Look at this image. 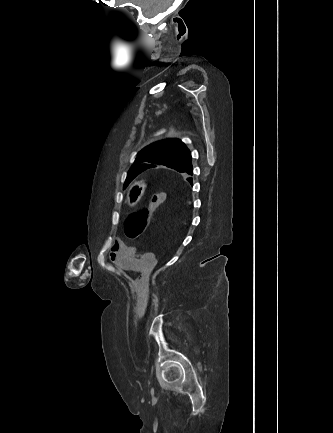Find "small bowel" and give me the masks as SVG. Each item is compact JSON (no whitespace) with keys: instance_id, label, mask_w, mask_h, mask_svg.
<instances>
[{"instance_id":"obj_1","label":"small bowel","mask_w":333,"mask_h":433,"mask_svg":"<svg viewBox=\"0 0 333 433\" xmlns=\"http://www.w3.org/2000/svg\"><path fill=\"white\" fill-rule=\"evenodd\" d=\"M110 259L113 264L128 271L149 274L157 266V257L154 252L140 253L136 247L127 246L117 242L111 247ZM135 312L137 317L144 316L149 295L147 291L135 292Z\"/></svg>"}]
</instances>
